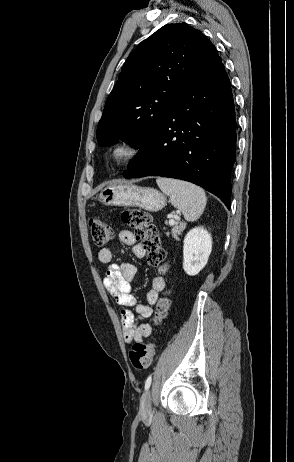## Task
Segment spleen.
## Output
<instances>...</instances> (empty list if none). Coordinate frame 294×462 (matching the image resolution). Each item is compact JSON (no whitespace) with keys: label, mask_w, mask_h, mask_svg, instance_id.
<instances>
[{"label":"spleen","mask_w":294,"mask_h":462,"mask_svg":"<svg viewBox=\"0 0 294 462\" xmlns=\"http://www.w3.org/2000/svg\"><path fill=\"white\" fill-rule=\"evenodd\" d=\"M159 188L169 196L172 205L180 209L187 221L197 220L203 213L207 197L202 188L185 181L158 178Z\"/></svg>","instance_id":"obj_1"}]
</instances>
